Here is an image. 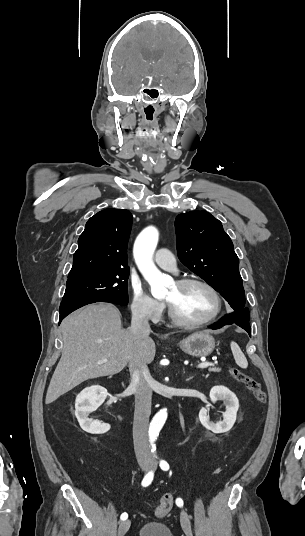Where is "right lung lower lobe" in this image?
Returning <instances> with one entry per match:
<instances>
[{"label":"right lung lower lobe","instance_id":"obj_1","mask_svg":"<svg viewBox=\"0 0 305 536\" xmlns=\"http://www.w3.org/2000/svg\"><path fill=\"white\" fill-rule=\"evenodd\" d=\"M95 302H103V301H98V300H71V301H65V302H61V305H60V321L59 323L62 321L63 318H65L68 314H70L71 312H73L74 310L84 306V305H87V304H90V303H95Z\"/></svg>","mask_w":305,"mask_h":536}]
</instances>
